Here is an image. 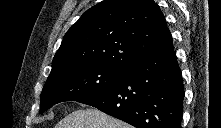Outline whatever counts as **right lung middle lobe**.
Listing matches in <instances>:
<instances>
[{"label": "right lung middle lobe", "mask_w": 221, "mask_h": 128, "mask_svg": "<svg viewBox=\"0 0 221 128\" xmlns=\"http://www.w3.org/2000/svg\"><path fill=\"white\" fill-rule=\"evenodd\" d=\"M127 69L97 64L57 69L50 73L41 94L40 114L64 101H80L118 81Z\"/></svg>", "instance_id": "obj_1"}]
</instances>
